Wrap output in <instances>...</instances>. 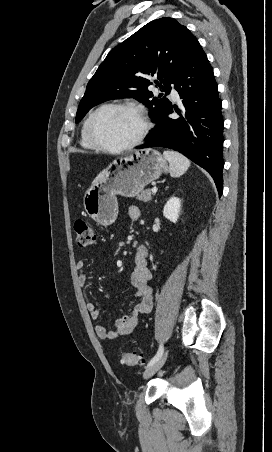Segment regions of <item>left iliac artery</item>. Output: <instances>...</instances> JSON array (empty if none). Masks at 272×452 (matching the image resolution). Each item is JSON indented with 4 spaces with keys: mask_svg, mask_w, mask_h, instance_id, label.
Masks as SVG:
<instances>
[{
    "mask_svg": "<svg viewBox=\"0 0 272 452\" xmlns=\"http://www.w3.org/2000/svg\"><path fill=\"white\" fill-rule=\"evenodd\" d=\"M163 351H164V347H163V345L161 344V345L159 346V349H158L156 355L149 361L147 367L150 366V365H152V364H154V363L162 356Z\"/></svg>",
    "mask_w": 272,
    "mask_h": 452,
    "instance_id": "left-iliac-artery-1",
    "label": "left iliac artery"
}]
</instances>
